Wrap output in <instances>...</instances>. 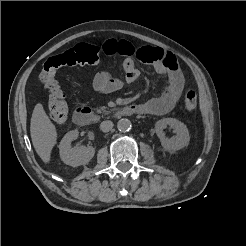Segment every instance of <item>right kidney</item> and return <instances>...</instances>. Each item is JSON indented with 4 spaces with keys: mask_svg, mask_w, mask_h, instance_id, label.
I'll return each instance as SVG.
<instances>
[{
    "mask_svg": "<svg viewBox=\"0 0 246 246\" xmlns=\"http://www.w3.org/2000/svg\"><path fill=\"white\" fill-rule=\"evenodd\" d=\"M79 135L78 130L68 132L60 142L59 150L61 160L72 167L87 164L95 154V148L92 146L71 147V142L77 139Z\"/></svg>",
    "mask_w": 246,
    "mask_h": 246,
    "instance_id": "1",
    "label": "right kidney"
}]
</instances>
